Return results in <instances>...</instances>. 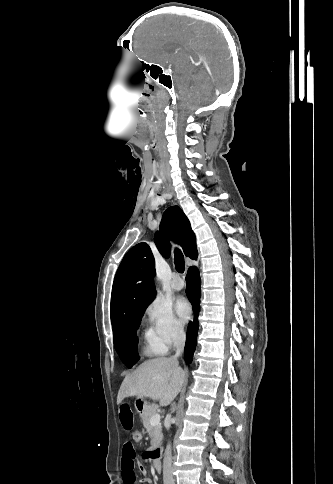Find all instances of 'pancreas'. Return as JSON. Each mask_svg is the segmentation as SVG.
I'll use <instances>...</instances> for the list:
<instances>
[{
	"label": "pancreas",
	"mask_w": 333,
	"mask_h": 484,
	"mask_svg": "<svg viewBox=\"0 0 333 484\" xmlns=\"http://www.w3.org/2000/svg\"><path fill=\"white\" fill-rule=\"evenodd\" d=\"M157 410L158 405L153 403L148 406L147 410L141 416L144 428L146 429L147 433L152 436L150 449L158 447L163 438L162 425L160 423L155 426L150 424V418L152 415L157 413Z\"/></svg>",
	"instance_id": "pancreas-1"
}]
</instances>
